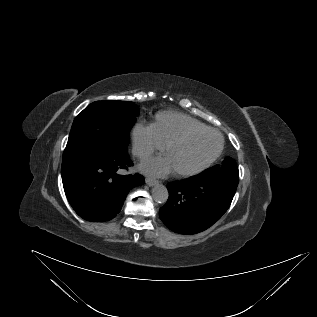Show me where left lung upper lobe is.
Masks as SVG:
<instances>
[{
	"label": "left lung upper lobe",
	"instance_id": "obj_1",
	"mask_svg": "<svg viewBox=\"0 0 317 317\" xmlns=\"http://www.w3.org/2000/svg\"><path fill=\"white\" fill-rule=\"evenodd\" d=\"M206 172L239 179V171L236 162L230 157L224 159L222 166L219 167L216 165L210 169H207Z\"/></svg>",
	"mask_w": 317,
	"mask_h": 317
}]
</instances>
